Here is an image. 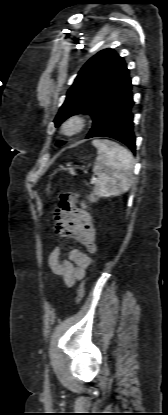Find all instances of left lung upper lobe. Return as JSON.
<instances>
[{"mask_svg": "<svg viewBox=\"0 0 168 415\" xmlns=\"http://www.w3.org/2000/svg\"><path fill=\"white\" fill-rule=\"evenodd\" d=\"M131 83L123 58L113 49L94 55L80 70L68 90L54 122L58 127L65 119L79 113L89 114L93 121L104 107ZM64 144L58 141L57 145Z\"/></svg>", "mask_w": 168, "mask_h": 415, "instance_id": "left-lung-upper-lobe-1", "label": "left lung upper lobe"}]
</instances>
